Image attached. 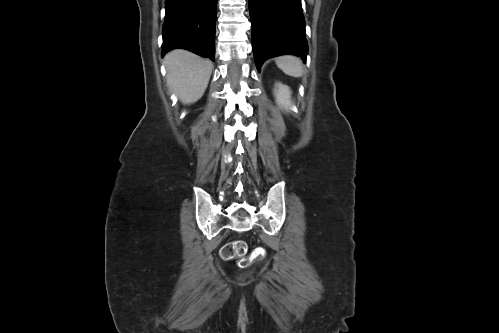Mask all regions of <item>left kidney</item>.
Here are the masks:
<instances>
[{"label": "left kidney", "mask_w": 499, "mask_h": 333, "mask_svg": "<svg viewBox=\"0 0 499 333\" xmlns=\"http://www.w3.org/2000/svg\"><path fill=\"white\" fill-rule=\"evenodd\" d=\"M276 102L285 110L290 109L291 105V91L288 86L277 83L274 90Z\"/></svg>", "instance_id": "5707ae66"}]
</instances>
